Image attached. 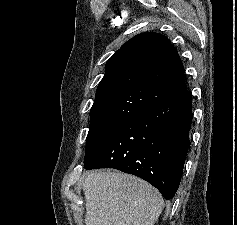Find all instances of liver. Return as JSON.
<instances>
[{"instance_id": "obj_1", "label": "liver", "mask_w": 237, "mask_h": 225, "mask_svg": "<svg viewBox=\"0 0 237 225\" xmlns=\"http://www.w3.org/2000/svg\"><path fill=\"white\" fill-rule=\"evenodd\" d=\"M85 196V225H154L164 201L148 182L118 171L87 175L82 186Z\"/></svg>"}]
</instances>
